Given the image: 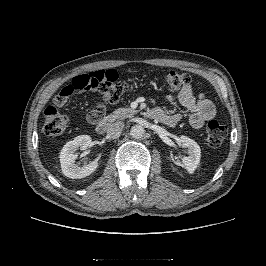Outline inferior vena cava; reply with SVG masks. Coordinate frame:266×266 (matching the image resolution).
<instances>
[{"instance_id":"obj_1","label":"inferior vena cava","mask_w":266,"mask_h":266,"mask_svg":"<svg viewBox=\"0 0 266 266\" xmlns=\"http://www.w3.org/2000/svg\"><path fill=\"white\" fill-rule=\"evenodd\" d=\"M123 127H124V123L121 121H116L112 123L107 130L108 137L112 139H116L120 137Z\"/></svg>"}]
</instances>
